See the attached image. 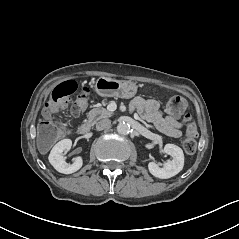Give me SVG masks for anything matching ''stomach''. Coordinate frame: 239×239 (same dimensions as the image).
<instances>
[{"mask_svg": "<svg viewBox=\"0 0 239 239\" xmlns=\"http://www.w3.org/2000/svg\"><path fill=\"white\" fill-rule=\"evenodd\" d=\"M94 91L101 97L133 98L138 91V85L132 80H118L111 77L97 78Z\"/></svg>", "mask_w": 239, "mask_h": 239, "instance_id": "0dacf381", "label": "stomach"}]
</instances>
